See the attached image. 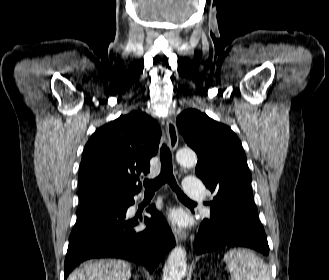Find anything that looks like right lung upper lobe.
Listing matches in <instances>:
<instances>
[{"label": "right lung upper lobe", "mask_w": 329, "mask_h": 280, "mask_svg": "<svg viewBox=\"0 0 329 280\" xmlns=\"http://www.w3.org/2000/svg\"><path fill=\"white\" fill-rule=\"evenodd\" d=\"M160 138L158 123L141 111L121 115L98 128L83 150L80 200L139 192L136 173L149 172Z\"/></svg>", "instance_id": "right-lung-upper-lobe-1"}]
</instances>
